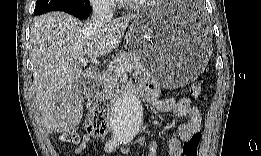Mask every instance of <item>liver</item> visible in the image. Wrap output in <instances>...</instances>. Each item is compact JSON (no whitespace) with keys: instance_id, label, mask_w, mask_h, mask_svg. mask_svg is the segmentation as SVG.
<instances>
[{"instance_id":"liver-1","label":"liver","mask_w":261,"mask_h":156,"mask_svg":"<svg viewBox=\"0 0 261 156\" xmlns=\"http://www.w3.org/2000/svg\"><path fill=\"white\" fill-rule=\"evenodd\" d=\"M140 13L111 20L101 27L92 21H79L64 12H51L34 18L30 33L33 82L43 123L49 133L74 127L61 126L54 119L57 104L70 92L75 101L76 125L83 114L82 97L70 84L82 75L80 57H103L115 51L124 31Z\"/></svg>"}]
</instances>
